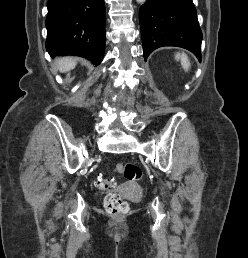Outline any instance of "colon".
<instances>
[{
	"instance_id": "colon-1",
	"label": "colon",
	"mask_w": 248,
	"mask_h": 258,
	"mask_svg": "<svg viewBox=\"0 0 248 258\" xmlns=\"http://www.w3.org/2000/svg\"><path fill=\"white\" fill-rule=\"evenodd\" d=\"M115 172L122 175L128 181H140L143 177V170L140 166L128 163L119 162L115 166ZM96 185L102 190H112L114 188L113 177H98ZM105 209L111 215L118 216L127 212V202L117 193L109 194L105 199Z\"/></svg>"
}]
</instances>
